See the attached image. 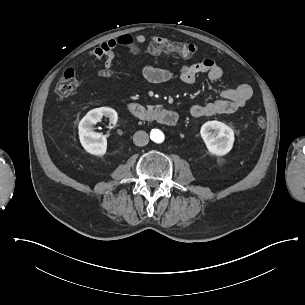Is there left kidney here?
Segmentation results:
<instances>
[{
  "instance_id": "1",
  "label": "left kidney",
  "mask_w": 305,
  "mask_h": 305,
  "mask_svg": "<svg viewBox=\"0 0 305 305\" xmlns=\"http://www.w3.org/2000/svg\"><path fill=\"white\" fill-rule=\"evenodd\" d=\"M212 129H214V131L211 134L209 132ZM215 134H218L219 140H215ZM200 135L211 156L223 157L229 154L235 141L233 129L217 120L204 123L201 127Z\"/></svg>"
}]
</instances>
